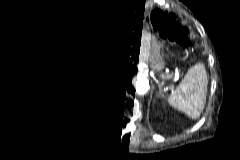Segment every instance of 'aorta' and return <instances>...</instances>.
<instances>
[{
	"mask_svg": "<svg viewBox=\"0 0 240 160\" xmlns=\"http://www.w3.org/2000/svg\"><path fill=\"white\" fill-rule=\"evenodd\" d=\"M132 85L135 92L139 95L146 94L150 89L148 79L143 75H138L132 80Z\"/></svg>",
	"mask_w": 240,
	"mask_h": 160,
	"instance_id": "aorta-1",
	"label": "aorta"
}]
</instances>
